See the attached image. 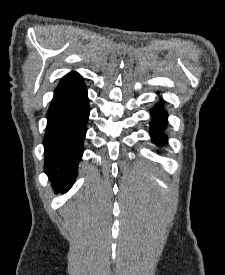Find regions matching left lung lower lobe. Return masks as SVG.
<instances>
[{
    "instance_id": "1",
    "label": "left lung lower lobe",
    "mask_w": 225,
    "mask_h": 275,
    "mask_svg": "<svg viewBox=\"0 0 225 275\" xmlns=\"http://www.w3.org/2000/svg\"><path fill=\"white\" fill-rule=\"evenodd\" d=\"M163 107V100H161L160 103L151 110L152 121L150 123V134L153 142L159 146L163 145L167 141L164 130L168 124V114L164 111Z\"/></svg>"
}]
</instances>
